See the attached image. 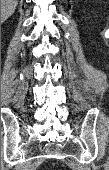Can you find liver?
Segmentation results:
<instances>
[{
  "label": "liver",
  "instance_id": "6515ba94",
  "mask_svg": "<svg viewBox=\"0 0 109 170\" xmlns=\"http://www.w3.org/2000/svg\"><path fill=\"white\" fill-rule=\"evenodd\" d=\"M18 0H1V22H5L14 12Z\"/></svg>",
  "mask_w": 109,
  "mask_h": 170
}]
</instances>
